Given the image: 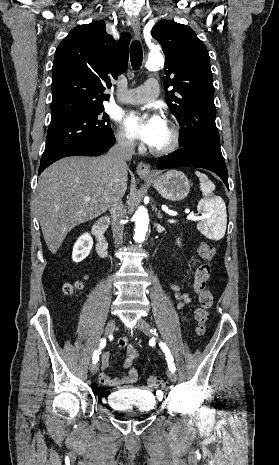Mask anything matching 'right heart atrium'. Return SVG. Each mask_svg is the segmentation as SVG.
I'll return each mask as SVG.
<instances>
[{
    "label": "right heart atrium",
    "mask_w": 279,
    "mask_h": 465,
    "mask_svg": "<svg viewBox=\"0 0 279 465\" xmlns=\"http://www.w3.org/2000/svg\"><path fill=\"white\" fill-rule=\"evenodd\" d=\"M116 140L118 145L126 150H131L135 146L134 140L122 129L116 133Z\"/></svg>",
    "instance_id": "1"
}]
</instances>
